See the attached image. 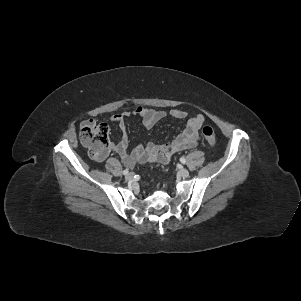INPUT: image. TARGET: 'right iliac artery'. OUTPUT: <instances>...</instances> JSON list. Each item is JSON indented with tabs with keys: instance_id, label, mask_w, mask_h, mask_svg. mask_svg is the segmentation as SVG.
I'll list each match as a JSON object with an SVG mask.
<instances>
[{
	"instance_id": "82829eb1",
	"label": "right iliac artery",
	"mask_w": 301,
	"mask_h": 301,
	"mask_svg": "<svg viewBox=\"0 0 301 301\" xmlns=\"http://www.w3.org/2000/svg\"><path fill=\"white\" fill-rule=\"evenodd\" d=\"M123 174H124V175H127V174H128V170H127V169L124 170V171H123Z\"/></svg>"
}]
</instances>
